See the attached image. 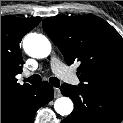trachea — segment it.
Masks as SVG:
<instances>
[{"mask_svg":"<svg viewBox=\"0 0 123 123\" xmlns=\"http://www.w3.org/2000/svg\"><path fill=\"white\" fill-rule=\"evenodd\" d=\"M41 80H42V79H41V76L38 75V74H34V75L30 76L29 78L24 79V81H27V82H29V83H31V84H40V83H41ZM49 82H50L53 86H55V87H59V85H60V81H59V79L56 78V77H51V78H49Z\"/></svg>","mask_w":123,"mask_h":123,"instance_id":"trachea-1","label":"trachea"}]
</instances>
